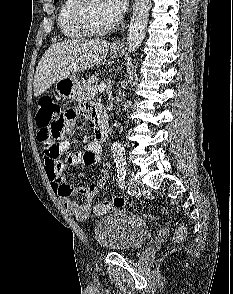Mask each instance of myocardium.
Wrapping results in <instances>:
<instances>
[{"label":"myocardium","mask_w":233,"mask_h":294,"mask_svg":"<svg viewBox=\"0 0 233 294\" xmlns=\"http://www.w3.org/2000/svg\"><path fill=\"white\" fill-rule=\"evenodd\" d=\"M91 0H77L73 11V19L76 26L87 36L99 37L111 32L118 24L116 19L110 25L96 29L94 28L88 18V8Z\"/></svg>","instance_id":"obj_1"}]
</instances>
